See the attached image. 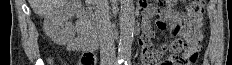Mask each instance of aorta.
<instances>
[{
  "label": "aorta",
  "instance_id": "762f6f07",
  "mask_svg": "<svg viewBox=\"0 0 232 65\" xmlns=\"http://www.w3.org/2000/svg\"><path fill=\"white\" fill-rule=\"evenodd\" d=\"M120 39L118 46L119 57L129 58L135 30V9L133 0H120Z\"/></svg>",
  "mask_w": 232,
  "mask_h": 65
}]
</instances>
